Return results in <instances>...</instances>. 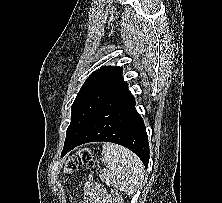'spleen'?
Segmentation results:
<instances>
[{
	"label": "spleen",
	"instance_id": "spleen-1",
	"mask_svg": "<svg viewBox=\"0 0 222 203\" xmlns=\"http://www.w3.org/2000/svg\"><path fill=\"white\" fill-rule=\"evenodd\" d=\"M102 163L106 168L99 177L106 184L127 193L136 192L145 179V168L137 155L118 144L108 143L103 146Z\"/></svg>",
	"mask_w": 222,
	"mask_h": 203
}]
</instances>
